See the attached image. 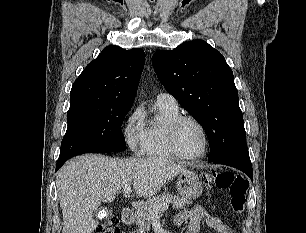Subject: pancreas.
<instances>
[{
    "label": "pancreas",
    "instance_id": "obj_1",
    "mask_svg": "<svg viewBox=\"0 0 306 233\" xmlns=\"http://www.w3.org/2000/svg\"><path fill=\"white\" fill-rule=\"evenodd\" d=\"M191 203L188 199L169 193H163L149 198L136 211L135 223L137 225V233H146L150 230L152 218L149 212L150 208L164 204H172L174 209H180Z\"/></svg>",
    "mask_w": 306,
    "mask_h": 233
}]
</instances>
